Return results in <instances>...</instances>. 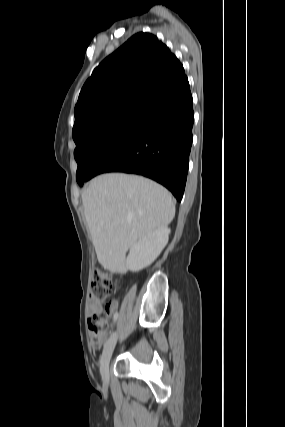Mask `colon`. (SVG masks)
<instances>
[{
  "mask_svg": "<svg viewBox=\"0 0 285 427\" xmlns=\"http://www.w3.org/2000/svg\"><path fill=\"white\" fill-rule=\"evenodd\" d=\"M113 288L111 275L101 270H96L92 276L89 296L91 300L101 303L111 295ZM88 327L92 343L95 346H100L109 329L107 320L98 314H93L88 319Z\"/></svg>",
  "mask_w": 285,
  "mask_h": 427,
  "instance_id": "1",
  "label": "colon"
}]
</instances>
